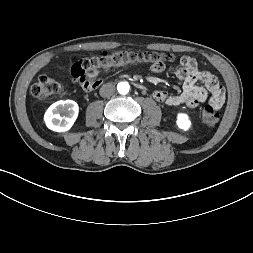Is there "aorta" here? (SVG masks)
Listing matches in <instances>:
<instances>
[{"label": "aorta", "mask_w": 253, "mask_h": 253, "mask_svg": "<svg viewBox=\"0 0 253 253\" xmlns=\"http://www.w3.org/2000/svg\"><path fill=\"white\" fill-rule=\"evenodd\" d=\"M129 89H130V85L128 82H120L118 83L117 85V90L120 94H127L129 92Z\"/></svg>", "instance_id": "aorta-1"}]
</instances>
